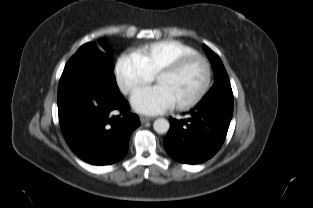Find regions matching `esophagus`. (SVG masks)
<instances>
[{
  "label": "esophagus",
  "mask_w": 313,
  "mask_h": 208,
  "mask_svg": "<svg viewBox=\"0 0 313 208\" xmlns=\"http://www.w3.org/2000/svg\"><path fill=\"white\" fill-rule=\"evenodd\" d=\"M151 120H152V118H150V117L140 116V121H141L142 124H144L146 122H149Z\"/></svg>",
  "instance_id": "1"
}]
</instances>
